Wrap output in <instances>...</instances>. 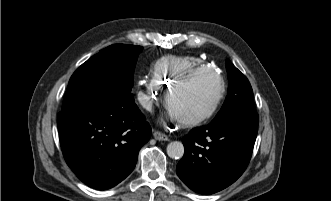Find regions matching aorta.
<instances>
[{
    "mask_svg": "<svg viewBox=\"0 0 331 201\" xmlns=\"http://www.w3.org/2000/svg\"><path fill=\"white\" fill-rule=\"evenodd\" d=\"M167 154L172 159H180L184 155V146L179 141L170 142L167 146Z\"/></svg>",
    "mask_w": 331,
    "mask_h": 201,
    "instance_id": "1",
    "label": "aorta"
}]
</instances>
